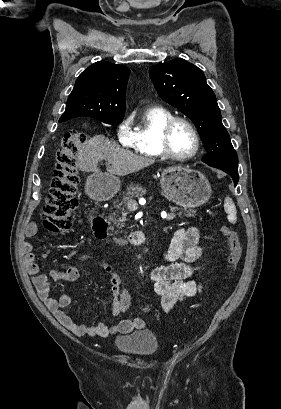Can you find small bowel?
<instances>
[{
  "instance_id": "1",
  "label": "small bowel",
  "mask_w": 281,
  "mask_h": 409,
  "mask_svg": "<svg viewBox=\"0 0 281 409\" xmlns=\"http://www.w3.org/2000/svg\"><path fill=\"white\" fill-rule=\"evenodd\" d=\"M37 224L31 222L26 230L27 237H32L37 232ZM32 244L25 242V262L28 273L32 277L39 299L48 307L56 319L69 331L78 336L95 335L107 337L112 334H127L133 330H141L145 327L142 318L124 319L113 325L98 324L95 326L76 323L63 309L71 304V296L62 293L59 298L50 296V281H75L79 277L76 266H70L66 270H51L49 276L39 272L36 256L32 252ZM199 234L196 228L180 227L173 235L167 248L161 250L162 258L168 262L165 265L153 268L149 273V279L153 284L154 292L161 297L162 309L169 313L179 303L194 297L201 292V286L192 279V263L200 256ZM79 262H93L98 265L110 277L109 292L112 296L113 315L117 316L128 309L131 301L130 293L121 287V277L103 259L83 255Z\"/></svg>"
}]
</instances>
